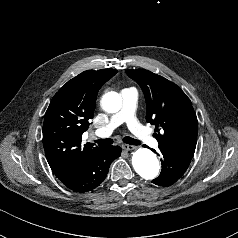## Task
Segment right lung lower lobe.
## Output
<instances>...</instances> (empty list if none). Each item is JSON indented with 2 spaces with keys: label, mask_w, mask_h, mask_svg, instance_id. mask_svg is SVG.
<instances>
[{
  "label": "right lung lower lobe",
  "mask_w": 238,
  "mask_h": 238,
  "mask_svg": "<svg viewBox=\"0 0 238 238\" xmlns=\"http://www.w3.org/2000/svg\"><path fill=\"white\" fill-rule=\"evenodd\" d=\"M120 154L121 148L119 146L99 147L77 169L60 180L66 187L75 192L91 191L104 181L110 164Z\"/></svg>",
  "instance_id": "1"
}]
</instances>
